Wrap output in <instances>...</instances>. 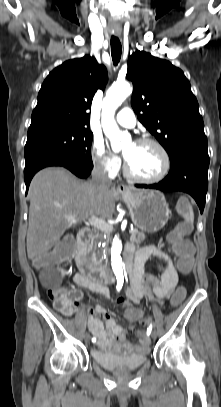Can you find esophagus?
<instances>
[{
	"instance_id": "esophagus-1",
	"label": "esophagus",
	"mask_w": 221,
	"mask_h": 407,
	"mask_svg": "<svg viewBox=\"0 0 221 407\" xmlns=\"http://www.w3.org/2000/svg\"><path fill=\"white\" fill-rule=\"evenodd\" d=\"M117 191L119 192V193H127L128 191H129V189H128V187L127 186H125V185H123V184H120V185H118V187H117Z\"/></svg>"
}]
</instances>
